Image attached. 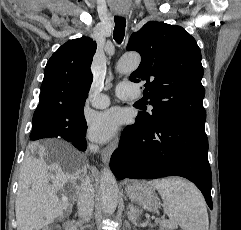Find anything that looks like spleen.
I'll return each instance as SVG.
<instances>
[{"mask_svg":"<svg viewBox=\"0 0 241 230\" xmlns=\"http://www.w3.org/2000/svg\"><path fill=\"white\" fill-rule=\"evenodd\" d=\"M149 185L158 190L164 213L176 225L183 230H208L205 200L192 183L181 178H165L150 181Z\"/></svg>","mask_w":241,"mask_h":230,"instance_id":"spleen-1","label":"spleen"}]
</instances>
